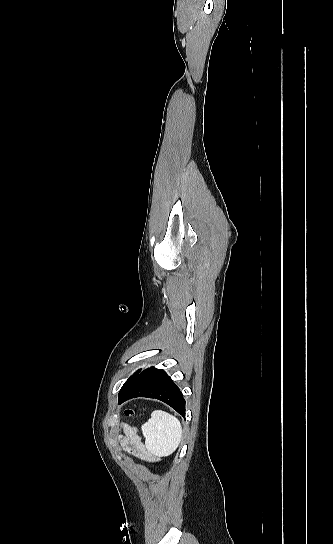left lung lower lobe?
<instances>
[{
	"label": "left lung lower lobe",
	"instance_id": "1",
	"mask_svg": "<svg viewBox=\"0 0 333 544\" xmlns=\"http://www.w3.org/2000/svg\"><path fill=\"white\" fill-rule=\"evenodd\" d=\"M135 397L156 398L185 417V400L180 389L161 369L154 367L138 373L119 393L118 403Z\"/></svg>",
	"mask_w": 333,
	"mask_h": 544
}]
</instances>
